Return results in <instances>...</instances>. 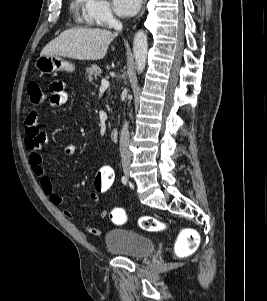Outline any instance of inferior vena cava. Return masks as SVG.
<instances>
[{
	"label": "inferior vena cava",
	"mask_w": 267,
	"mask_h": 301,
	"mask_svg": "<svg viewBox=\"0 0 267 301\" xmlns=\"http://www.w3.org/2000/svg\"><path fill=\"white\" fill-rule=\"evenodd\" d=\"M113 27L116 31L122 30V23L118 20H114ZM130 134L128 129V123L124 122V125L120 134V154L122 164H128L131 161V152L129 150Z\"/></svg>",
	"instance_id": "inferior-vena-cava-1"
}]
</instances>
